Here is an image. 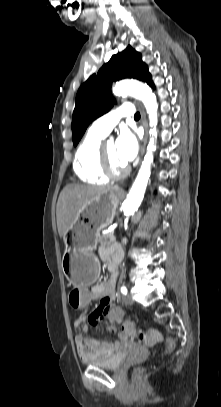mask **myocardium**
<instances>
[{
	"instance_id": "obj_1",
	"label": "myocardium",
	"mask_w": 221,
	"mask_h": 407,
	"mask_svg": "<svg viewBox=\"0 0 221 407\" xmlns=\"http://www.w3.org/2000/svg\"><path fill=\"white\" fill-rule=\"evenodd\" d=\"M100 167L103 174L107 178L111 179L121 178L125 176L129 171V168L126 166L119 170H116L112 167L109 158L106 154L105 145H102L100 148Z\"/></svg>"
}]
</instances>
